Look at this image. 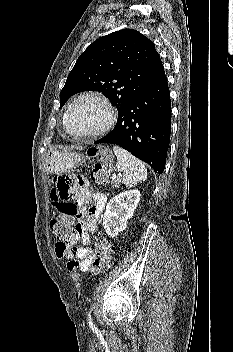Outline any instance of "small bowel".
Listing matches in <instances>:
<instances>
[{
  "label": "small bowel",
  "mask_w": 233,
  "mask_h": 352,
  "mask_svg": "<svg viewBox=\"0 0 233 352\" xmlns=\"http://www.w3.org/2000/svg\"><path fill=\"white\" fill-rule=\"evenodd\" d=\"M70 200H74L79 206L73 216L76 222L67 244L62 245L57 241L55 251L59 258L68 260L69 271L77 268L86 270L94 258V252L89 246V233L93 234L97 230L98 221L105 207L106 196L94 190L81 176L63 175L54 179L51 192L52 206L61 213V207L69 204ZM78 241H81L84 246L75 247Z\"/></svg>",
  "instance_id": "small-bowel-1"
}]
</instances>
